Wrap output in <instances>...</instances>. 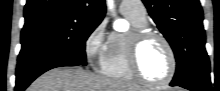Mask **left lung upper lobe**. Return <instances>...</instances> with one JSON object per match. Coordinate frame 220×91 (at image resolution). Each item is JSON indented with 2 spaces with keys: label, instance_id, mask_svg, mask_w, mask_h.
I'll list each match as a JSON object with an SVG mask.
<instances>
[{
  "label": "left lung upper lobe",
  "instance_id": "1",
  "mask_svg": "<svg viewBox=\"0 0 220 91\" xmlns=\"http://www.w3.org/2000/svg\"><path fill=\"white\" fill-rule=\"evenodd\" d=\"M158 29L171 45L177 68L172 84L209 77L203 12L199 0H142Z\"/></svg>",
  "mask_w": 220,
  "mask_h": 91
}]
</instances>
